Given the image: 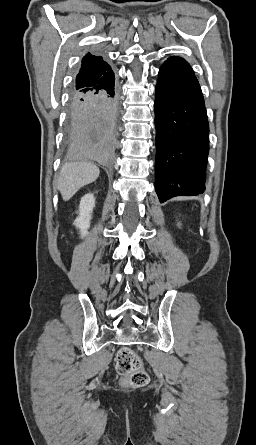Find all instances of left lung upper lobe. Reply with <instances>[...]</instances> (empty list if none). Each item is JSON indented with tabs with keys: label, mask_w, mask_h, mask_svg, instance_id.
Wrapping results in <instances>:
<instances>
[{
	"label": "left lung upper lobe",
	"mask_w": 256,
	"mask_h": 445,
	"mask_svg": "<svg viewBox=\"0 0 256 445\" xmlns=\"http://www.w3.org/2000/svg\"><path fill=\"white\" fill-rule=\"evenodd\" d=\"M165 63H170L180 69H183L187 72L193 73L192 68L190 67V65L188 64V62H186L183 58L177 57V56H173V57H169Z\"/></svg>",
	"instance_id": "5c2ea615"
}]
</instances>
